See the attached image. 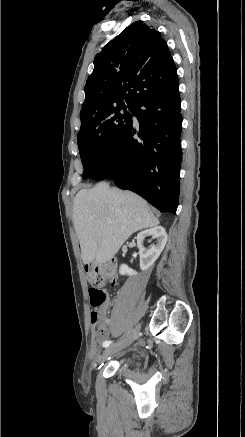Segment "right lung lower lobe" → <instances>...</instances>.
I'll return each mask as SVG.
<instances>
[{
    "label": "right lung lower lobe",
    "instance_id": "1",
    "mask_svg": "<svg viewBox=\"0 0 245 437\" xmlns=\"http://www.w3.org/2000/svg\"><path fill=\"white\" fill-rule=\"evenodd\" d=\"M179 85L146 97L134 105L132 120L110 156L89 176L112 179L160 212L175 214L179 199L182 161V115Z\"/></svg>",
    "mask_w": 245,
    "mask_h": 437
}]
</instances>
